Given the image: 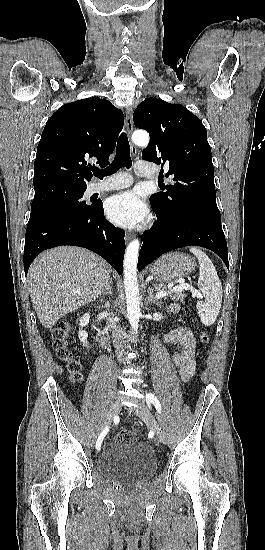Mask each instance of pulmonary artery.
<instances>
[{"label": "pulmonary artery", "instance_id": "pulmonary-artery-1", "mask_svg": "<svg viewBox=\"0 0 265 550\" xmlns=\"http://www.w3.org/2000/svg\"><path fill=\"white\" fill-rule=\"evenodd\" d=\"M136 171L141 176H153L155 174L151 169L145 167L144 161L136 163ZM132 182V177L128 173L120 172L103 182L92 183L88 187L87 193L94 194L103 191L119 190L130 186Z\"/></svg>", "mask_w": 265, "mask_h": 550}]
</instances>
